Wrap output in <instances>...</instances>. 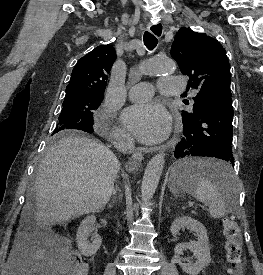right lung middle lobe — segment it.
<instances>
[{
    "instance_id": "1",
    "label": "right lung middle lobe",
    "mask_w": 263,
    "mask_h": 275,
    "mask_svg": "<svg viewBox=\"0 0 263 275\" xmlns=\"http://www.w3.org/2000/svg\"><path fill=\"white\" fill-rule=\"evenodd\" d=\"M103 100L102 96L78 95L65 98L59 122L52 135L59 140L67 130L77 129L88 133L93 132V111Z\"/></svg>"
}]
</instances>
